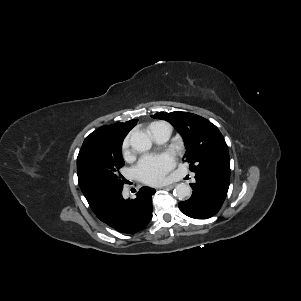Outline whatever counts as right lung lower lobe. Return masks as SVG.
Returning a JSON list of instances; mask_svg holds the SVG:
<instances>
[{
  "instance_id": "1",
  "label": "right lung lower lobe",
  "mask_w": 301,
  "mask_h": 301,
  "mask_svg": "<svg viewBox=\"0 0 301 301\" xmlns=\"http://www.w3.org/2000/svg\"><path fill=\"white\" fill-rule=\"evenodd\" d=\"M117 192L95 213L96 216L121 233L134 234L142 230L152 218V195L155 190L142 187L135 199H124Z\"/></svg>"
}]
</instances>
